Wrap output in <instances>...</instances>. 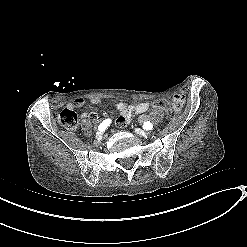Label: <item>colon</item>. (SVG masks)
Segmentation results:
<instances>
[{"mask_svg":"<svg viewBox=\"0 0 247 247\" xmlns=\"http://www.w3.org/2000/svg\"><path fill=\"white\" fill-rule=\"evenodd\" d=\"M154 108L163 111L168 115L171 114L172 110V106L170 105V103L165 100L156 101L154 104ZM58 121L62 126L68 129H74L79 124V117L74 110L65 108L58 113Z\"/></svg>","mask_w":247,"mask_h":247,"instance_id":"5ec220e1","label":"colon"}]
</instances>
